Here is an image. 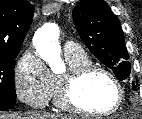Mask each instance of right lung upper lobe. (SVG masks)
Returning a JSON list of instances; mask_svg holds the SVG:
<instances>
[{"label": "right lung upper lobe", "instance_id": "1", "mask_svg": "<svg viewBox=\"0 0 142 119\" xmlns=\"http://www.w3.org/2000/svg\"><path fill=\"white\" fill-rule=\"evenodd\" d=\"M33 13L27 0H0V54L20 51Z\"/></svg>", "mask_w": 142, "mask_h": 119}]
</instances>
